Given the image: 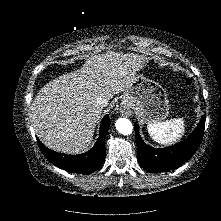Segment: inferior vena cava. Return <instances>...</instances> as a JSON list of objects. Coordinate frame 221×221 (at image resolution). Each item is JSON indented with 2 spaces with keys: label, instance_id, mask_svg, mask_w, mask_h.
Returning <instances> with one entry per match:
<instances>
[{
  "label": "inferior vena cava",
  "instance_id": "602c4592",
  "mask_svg": "<svg viewBox=\"0 0 221 221\" xmlns=\"http://www.w3.org/2000/svg\"><path fill=\"white\" fill-rule=\"evenodd\" d=\"M96 102L100 106H107V104H108V101L104 98H101V97L97 98Z\"/></svg>",
  "mask_w": 221,
  "mask_h": 221
}]
</instances>
